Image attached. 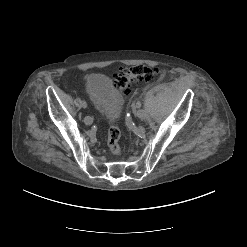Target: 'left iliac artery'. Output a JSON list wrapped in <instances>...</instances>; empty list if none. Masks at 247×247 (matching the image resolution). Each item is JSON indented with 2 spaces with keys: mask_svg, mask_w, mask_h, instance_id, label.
<instances>
[{
  "mask_svg": "<svg viewBox=\"0 0 247 247\" xmlns=\"http://www.w3.org/2000/svg\"><path fill=\"white\" fill-rule=\"evenodd\" d=\"M138 113L140 116H144L146 114V112L142 109L138 110Z\"/></svg>",
  "mask_w": 247,
  "mask_h": 247,
  "instance_id": "left-iliac-artery-1",
  "label": "left iliac artery"
}]
</instances>
